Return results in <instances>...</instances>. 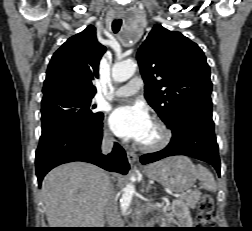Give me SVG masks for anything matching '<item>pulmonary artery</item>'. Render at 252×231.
<instances>
[{
	"label": "pulmonary artery",
	"mask_w": 252,
	"mask_h": 231,
	"mask_svg": "<svg viewBox=\"0 0 252 231\" xmlns=\"http://www.w3.org/2000/svg\"><path fill=\"white\" fill-rule=\"evenodd\" d=\"M143 82L139 77H134L130 79L125 85L121 86L114 92V96L126 97L136 94L142 87Z\"/></svg>",
	"instance_id": "obj_1"
}]
</instances>
